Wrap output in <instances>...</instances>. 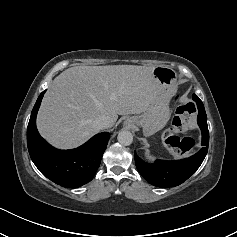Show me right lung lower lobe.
Returning <instances> with one entry per match:
<instances>
[{"label":"right lung lower lobe","mask_w":237,"mask_h":237,"mask_svg":"<svg viewBox=\"0 0 237 237\" xmlns=\"http://www.w3.org/2000/svg\"><path fill=\"white\" fill-rule=\"evenodd\" d=\"M45 91L38 97L27 127L30 157L39 171L54 183L68 188L80 187L94 177L106 149L109 133H99L82 146L58 150L38 133L36 115Z\"/></svg>","instance_id":"98d812e1"}]
</instances>
